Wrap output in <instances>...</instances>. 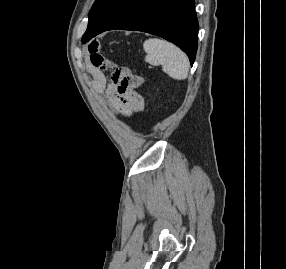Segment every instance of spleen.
Instances as JSON below:
<instances>
[{"mask_svg": "<svg viewBox=\"0 0 286 269\" xmlns=\"http://www.w3.org/2000/svg\"><path fill=\"white\" fill-rule=\"evenodd\" d=\"M147 53L145 59L152 65H162V69L173 79L183 80L188 76L189 60L178 47L165 40L150 38L143 44Z\"/></svg>", "mask_w": 286, "mask_h": 269, "instance_id": "spleen-1", "label": "spleen"}]
</instances>
